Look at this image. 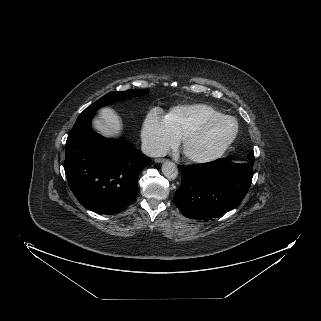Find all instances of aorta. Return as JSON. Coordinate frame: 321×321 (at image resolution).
I'll return each mask as SVG.
<instances>
[{
  "mask_svg": "<svg viewBox=\"0 0 321 321\" xmlns=\"http://www.w3.org/2000/svg\"><path fill=\"white\" fill-rule=\"evenodd\" d=\"M162 173L168 179L173 180L178 176V168L173 162L166 161L162 165Z\"/></svg>",
  "mask_w": 321,
  "mask_h": 321,
  "instance_id": "762f6f07",
  "label": "aorta"
}]
</instances>
